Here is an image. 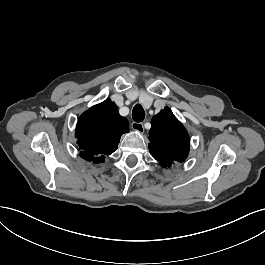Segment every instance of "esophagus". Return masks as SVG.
Wrapping results in <instances>:
<instances>
[{
  "label": "esophagus",
  "mask_w": 265,
  "mask_h": 265,
  "mask_svg": "<svg viewBox=\"0 0 265 265\" xmlns=\"http://www.w3.org/2000/svg\"><path fill=\"white\" fill-rule=\"evenodd\" d=\"M131 126L134 131H137L141 134L144 133V126L141 122H133Z\"/></svg>",
  "instance_id": "esophagus-1"
}]
</instances>
